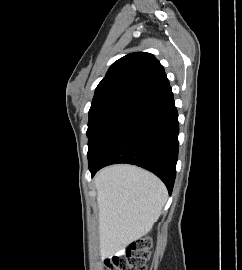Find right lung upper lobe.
<instances>
[{
    "label": "right lung upper lobe",
    "instance_id": "1",
    "mask_svg": "<svg viewBox=\"0 0 242 270\" xmlns=\"http://www.w3.org/2000/svg\"><path fill=\"white\" fill-rule=\"evenodd\" d=\"M169 87L163 66L152 54L131 53L111 65L95 90L91 108L116 102L138 105Z\"/></svg>",
    "mask_w": 242,
    "mask_h": 270
}]
</instances>
